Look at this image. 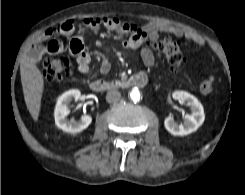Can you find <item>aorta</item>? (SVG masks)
<instances>
[{"label": "aorta", "mask_w": 245, "mask_h": 195, "mask_svg": "<svg viewBox=\"0 0 245 195\" xmlns=\"http://www.w3.org/2000/svg\"><path fill=\"white\" fill-rule=\"evenodd\" d=\"M130 99L133 101V102H139L140 101V92L137 90V89H133L131 92H130Z\"/></svg>", "instance_id": "aorta-1"}]
</instances>
